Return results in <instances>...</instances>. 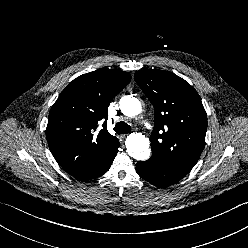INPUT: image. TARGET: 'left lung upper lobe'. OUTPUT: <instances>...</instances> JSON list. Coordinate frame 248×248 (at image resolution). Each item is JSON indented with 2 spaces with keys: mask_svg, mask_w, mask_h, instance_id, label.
Returning <instances> with one entry per match:
<instances>
[{
  "mask_svg": "<svg viewBox=\"0 0 248 248\" xmlns=\"http://www.w3.org/2000/svg\"><path fill=\"white\" fill-rule=\"evenodd\" d=\"M135 81L155 110L152 156L186 176L205 145L207 115L198 93L169 71H137Z\"/></svg>",
  "mask_w": 248,
  "mask_h": 248,
  "instance_id": "obj_1",
  "label": "left lung upper lobe"
}]
</instances>
